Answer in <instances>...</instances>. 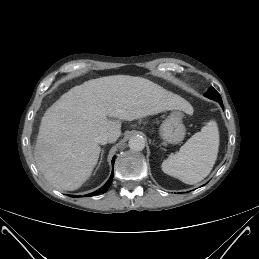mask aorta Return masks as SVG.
<instances>
[{
  "label": "aorta",
  "instance_id": "aorta-1",
  "mask_svg": "<svg viewBox=\"0 0 259 259\" xmlns=\"http://www.w3.org/2000/svg\"><path fill=\"white\" fill-rule=\"evenodd\" d=\"M129 148L133 151H142L145 148V139L139 135L131 137Z\"/></svg>",
  "mask_w": 259,
  "mask_h": 259
}]
</instances>
